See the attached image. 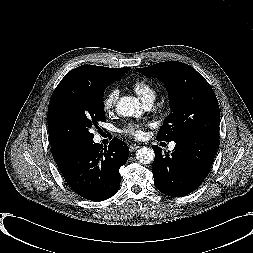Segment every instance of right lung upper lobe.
<instances>
[{"label":"right lung upper lobe","mask_w":253,"mask_h":253,"mask_svg":"<svg viewBox=\"0 0 253 253\" xmlns=\"http://www.w3.org/2000/svg\"><path fill=\"white\" fill-rule=\"evenodd\" d=\"M130 67L124 68H109L95 65H82L70 72L60 81L55 90L63 88L66 84L80 77L102 78L110 75H118L122 77ZM49 139L53 158L59 169H63L74 157L80 147L71 146L60 141L53 133L50 126H48Z\"/></svg>","instance_id":"cb5924a9"}]
</instances>
